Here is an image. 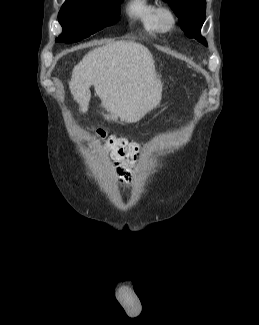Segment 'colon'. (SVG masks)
Segmentation results:
<instances>
[{"instance_id": "colon-1", "label": "colon", "mask_w": 259, "mask_h": 325, "mask_svg": "<svg viewBox=\"0 0 259 325\" xmlns=\"http://www.w3.org/2000/svg\"><path fill=\"white\" fill-rule=\"evenodd\" d=\"M89 138L116 160L137 162L142 156L143 145L141 143L109 135L103 128H94Z\"/></svg>"}]
</instances>
